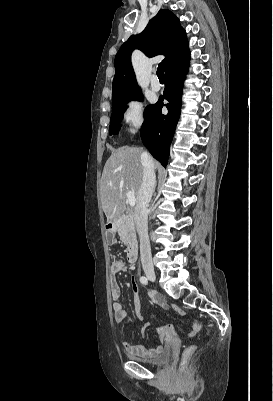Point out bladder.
<instances>
[{"instance_id": "obj_1", "label": "bladder", "mask_w": 273, "mask_h": 401, "mask_svg": "<svg viewBox=\"0 0 273 401\" xmlns=\"http://www.w3.org/2000/svg\"><path fill=\"white\" fill-rule=\"evenodd\" d=\"M172 356V352L170 347H166L163 352L154 360H146L136 356H131L130 358L134 361H137L142 364L150 365V366H162L167 364Z\"/></svg>"}]
</instances>
